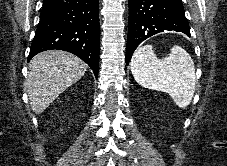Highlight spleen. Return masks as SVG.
<instances>
[{
	"instance_id": "1",
	"label": "spleen",
	"mask_w": 227,
	"mask_h": 166,
	"mask_svg": "<svg viewBox=\"0 0 227 166\" xmlns=\"http://www.w3.org/2000/svg\"><path fill=\"white\" fill-rule=\"evenodd\" d=\"M130 66L139 85L168 93L180 108L191 103L196 85L195 66L181 47L173 46L163 59L157 58L151 45L138 47Z\"/></svg>"
}]
</instances>
